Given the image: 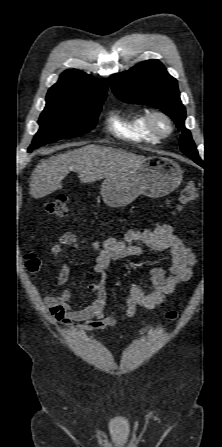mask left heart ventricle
I'll list each match as a JSON object with an SVG mask.
<instances>
[{
  "label": "left heart ventricle",
  "instance_id": "b2bd125f",
  "mask_svg": "<svg viewBox=\"0 0 222 447\" xmlns=\"http://www.w3.org/2000/svg\"><path fill=\"white\" fill-rule=\"evenodd\" d=\"M161 127L165 129V125L163 123H161Z\"/></svg>",
  "mask_w": 222,
  "mask_h": 447
}]
</instances>
